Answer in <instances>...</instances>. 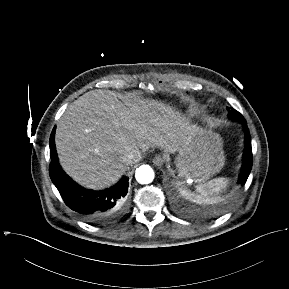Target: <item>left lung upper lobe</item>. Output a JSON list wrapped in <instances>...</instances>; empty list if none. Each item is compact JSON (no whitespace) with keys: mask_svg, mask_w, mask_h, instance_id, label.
I'll return each mask as SVG.
<instances>
[{"mask_svg":"<svg viewBox=\"0 0 289 289\" xmlns=\"http://www.w3.org/2000/svg\"><path fill=\"white\" fill-rule=\"evenodd\" d=\"M227 109L229 110V108H227ZM229 117L233 120H238L240 122L245 121L244 117L236 110L229 113Z\"/></svg>","mask_w":289,"mask_h":289,"instance_id":"5c2ea615","label":"left lung upper lobe"}]
</instances>
